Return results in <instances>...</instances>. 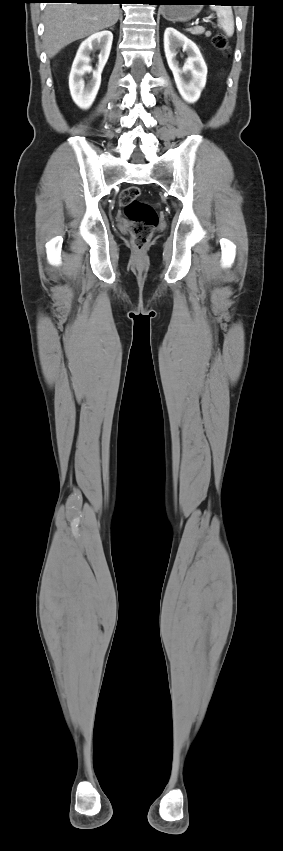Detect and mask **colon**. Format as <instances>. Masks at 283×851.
<instances>
[{
	"instance_id": "colon-1",
	"label": "colon",
	"mask_w": 283,
	"mask_h": 851,
	"mask_svg": "<svg viewBox=\"0 0 283 851\" xmlns=\"http://www.w3.org/2000/svg\"><path fill=\"white\" fill-rule=\"evenodd\" d=\"M213 44L225 54L229 53L228 40L225 35L216 34L213 38ZM140 194L139 187L130 186L122 190L119 195V204L125 210V214L131 222L132 241L137 250L145 247L158 222L155 208L146 201L138 200Z\"/></svg>"
}]
</instances>
